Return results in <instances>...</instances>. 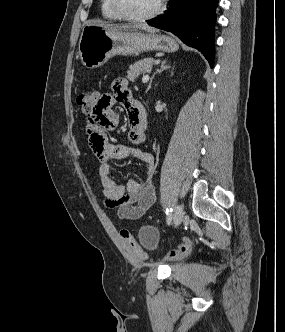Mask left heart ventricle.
<instances>
[{"label": "left heart ventricle", "instance_id": "obj_1", "mask_svg": "<svg viewBox=\"0 0 285 332\" xmlns=\"http://www.w3.org/2000/svg\"><path fill=\"white\" fill-rule=\"evenodd\" d=\"M119 2L128 14L142 16L154 11L159 0H119Z\"/></svg>", "mask_w": 285, "mask_h": 332}]
</instances>
